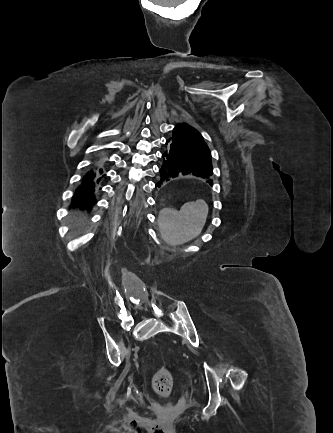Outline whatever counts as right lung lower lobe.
<instances>
[{
  "label": "right lung lower lobe",
  "mask_w": 333,
  "mask_h": 433,
  "mask_svg": "<svg viewBox=\"0 0 333 433\" xmlns=\"http://www.w3.org/2000/svg\"><path fill=\"white\" fill-rule=\"evenodd\" d=\"M102 167L103 163L92 164V167L83 177L81 185L76 189L73 196L74 206L85 209L97 203L94 192L96 185L104 176Z\"/></svg>",
  "instance_id": "1"
}]
</instances>
